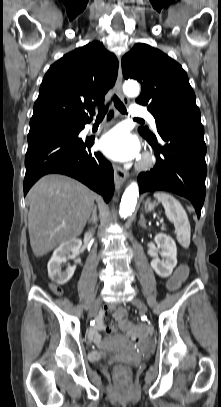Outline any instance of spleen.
Segmentation results:
<instances>
[{"instance_id":"obj_1","label":"spleen","mask_w":221,"mask_h":407,"mask_svg":"<svg viewBox=\"0 0 221 407\" xmlns=\"http://www.w3.org/2000/svg\"><path fill=\"white\" fill-rule=\"evenodd\" d=\"M154 197L162 203L167 218L174 224L178 242L184 248H188L191 228L186 211L180 202L169 193L156 192Z\"/></svg>"}]
</instances>
